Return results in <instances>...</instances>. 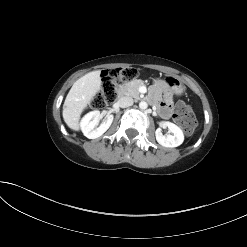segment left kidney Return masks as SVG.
Listing matches in <instances>:
<instances>
[{"mask_svg":"<svg viewBox=\"0 0 247 247\" xmlns=\"http://www.w3.org/2000/svg\"><path fill=\"white\" fill-rule=\"evenodd\" d=\"M161 127H168L169 131L173 135L164 136L161 132V128H158L155 132L157 142L164 147H177L184 141L183 131L175 124L171 122H161Z\"/></svg>","mask_w":247,"mask_h":247,"instance_id":"obj_1","label":"left kidney"}]
</instances>
